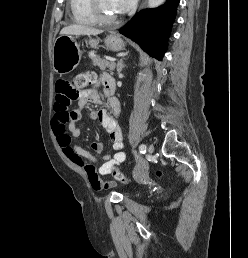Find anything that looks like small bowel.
<instances>
[{
  "instance_id": "c3829d8e",
  "label": "small bowel",
  "mask_w": 248,
  "mask_h": 258,
  "mask_svg": "<svg viewBox=\"0 0 248 258\" xmlns=\"http://www.w3.org/2000/svg\"><path fill=\"white\" fill-rule=\"evenodd\" d=\"M109 83L113 84L112 79L109 76H105L103 78L104 90L108 94H111L112 91L109 89ZM99 92V87H92L81 91L78 95L76 108L70 110L69 107L73 100L71 88L67 81H60L56 88L54 113L51 120L52 129L64 154L75 165L84 170L91 188L97 192L114 186V182L108 177L101 179V176L110 174L126 159V154L122 150V129L115 117L107 110L90 112V116L98 119L108 133L112 147L115 150L113 155L107 154L103 156V162L98 168L94 166L98 161L97 157L72 140L73 137L80 135V130L76 126V122L81 117V110L89 102L98 103ZM108 104L114 114L119 113L120 104L117 99L110 97ZM91 148L96 154H100L103 150V144L101 142H93Z\"/></svg>"
}]
</instances>
